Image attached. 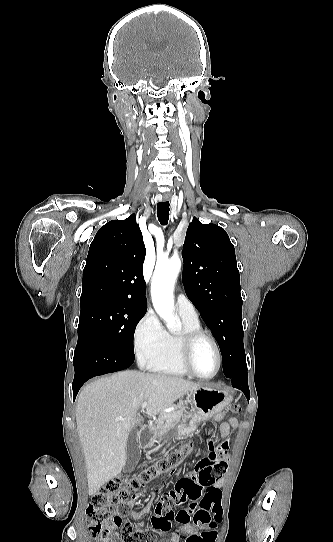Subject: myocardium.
I'll return each instance as SVG.
<instances>
[{"label":"myocardium","instance_id":"obj_1","mask_svg":"<svg viewBox=\"0 0 333 542\" xmlns=\"http://www.w3.org/2000/svg\"><path fill=\"white\" fill-rule=\"evenodd\" d=\"M202 340H207L212 345L217 356L216 371L210 376H203V375L198 374L193 369L192 364H191V358H192L194 347L196 346L198 342ZM179 357H180L181 365L184 368V370L189 375L199 378V379L210 380L214 378L219 373L222 366V354H221V350L219 348L218 343L211 335L207 334L206 332L202 330L187 332L182 336L179 343Z\"/></svg>","mask_w":333,"mask_h":542}]
</instances>
